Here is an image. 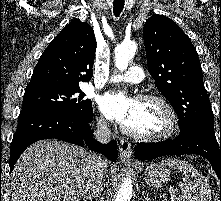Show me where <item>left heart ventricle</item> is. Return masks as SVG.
Here are the masks:
<instances>
[{"label":"left heart ventricle","mask_w":221,"mask_h":201,"mask_svg":"<svg viewBox=\"0 0 221 201\" xmlns=\"http://www.w3.org/2000/svg\"><path fill=\"white\" fill-rule=\"evenodd\" d=\"M140 133H158L167 127L166 115L159 104L153 101H136L134 112L124 124Z\"/></svg>","instance_id":"1"}]
</instances>
